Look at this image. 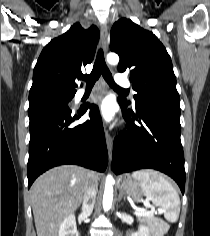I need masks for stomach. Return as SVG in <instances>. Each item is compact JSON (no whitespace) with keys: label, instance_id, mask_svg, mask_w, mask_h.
<instances>
[{"label":"stomach","instance_id":"1","mask_svg":"<svg viewBox=\"0 0 210 236\" xmlns=\"http://www.w3.org/2000/svg\"><path fill=\"white\" fill-rule=\"evenodd\" d=\"M119 186L121 191L131 196L134 201H140L144 195V191L141 188L140 180L134 178L131 175H124L119 177Z\"/></svg>","mask_w":210,"mask_h":236}]
</instances>
